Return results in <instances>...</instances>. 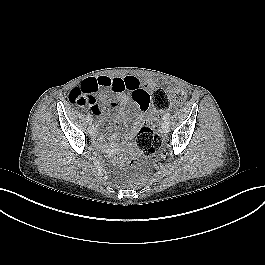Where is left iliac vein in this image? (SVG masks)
<instances>
[{
	"instance_id": "4c4485c4",
	"label": "left iliac vein",
	"mask_w": 265,
	"mask_h": 265,
	"mask_svg": "<svg viewBox=\"0 0 265 265\" xmlns=\"http://www.w3.org/2000/svg\"><path fill=\"white\" fill-rule=\"evenodd\" d=\"M169 130H170V128H169V124H168V122H167V121H164V122L162 123V131H163L164 133H168Z\"/></svg>"
}]
</instances>
